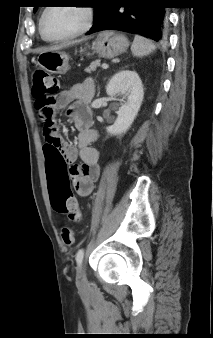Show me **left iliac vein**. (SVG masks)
<instances>
[{
  "label": "left iliac vein",
  "instance_id": "4c4485c4",
  "mask_svg": "<svg viewBox=\"0 0 213 338\" xmlns=\"http://www.w3.org/2000/svg\"><path fill=\"white\" fill-rule=\"evenodd\" d=\"M77 280H79V281H84L85 280V270H84L83 265H80L77 268Z\"/></svg>",
  "mask_w": 213,
  "mask_h": 338
}]
</instances>
